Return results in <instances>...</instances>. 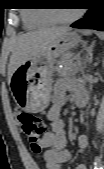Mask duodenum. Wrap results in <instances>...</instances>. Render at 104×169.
I'll return each mask as SVG.
<instances>
[{"instance_id": "obj_1", "label": "duodenum", "mask_w": 104, "mask_h": 169, "mask_svg": "<svg viewBox=\"0 0 104 169\" xmlns=\"http://www.w3.org/2000/svg\"><path fill=\"white\" fill-rule=\"evenodd\" d=\"M76 104L80 108H85L88 104V99L86 96H80L76 99Z\"/></svg>"}]
</instances>
